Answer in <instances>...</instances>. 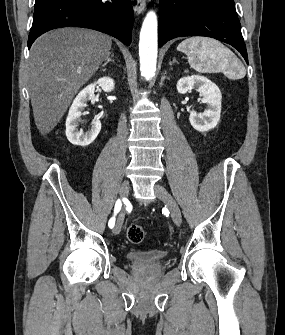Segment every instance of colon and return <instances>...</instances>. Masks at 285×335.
<instances>
[{
	"mask_svg": "<svg viewBox=\"0 0 285 335\" xmlns=\"http://www.w3.org/2000/svg\"><path fill=\"white\" fill-rule=\"evenodd\" d=\"M144 229L139 224H131L126 229V237L133 244L141 243L144 239Z\"/></svg>",
	"mask_w": 285,
	"mask_h": 335,
	"instance_id": "1",
	"label": "colon"
}]
</instances>
